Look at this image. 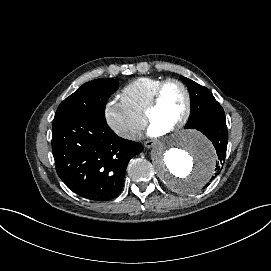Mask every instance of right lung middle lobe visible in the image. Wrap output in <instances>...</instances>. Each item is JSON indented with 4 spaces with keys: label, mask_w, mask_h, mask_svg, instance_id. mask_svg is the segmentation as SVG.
I'll return each mask as SVG.
<instances>
[{
    "label": "right lung middle lobe",
    "mask_w": 271,
    "mask_h": 271,
    "mask_svg": "<svg viewBox=\"0 0 271 271\" xmlns=\"http://www.w3.org/2000/svg\"><path fill=\"white\" fill-rule=\"evenodd\" d=\"M117 89V81L109 78L85 83L59 105L53 124L74 116L105 120L106 102Z\"/></svg>",
    "instance_id": "obj_1"
}]
</instances>
